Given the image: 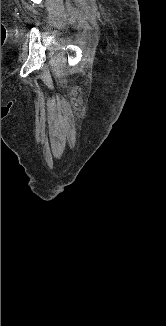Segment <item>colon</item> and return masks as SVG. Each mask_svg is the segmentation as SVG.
<instances>
[{
    "instance_id": "1",
    "label": "colon",
    "mask_w": 166,
    "mask_h": 326,
    "mask_svg": "<svg viewBox=\"0 0 166 326\" xmlns=\"http://www.w3.org/2000/svg\"><path fill=\"white\" fill-rule=\"evenodd\" d=\"M7 38V29L3 22H1V47L4 45Z\"/></svg>"
}]
</instances>
